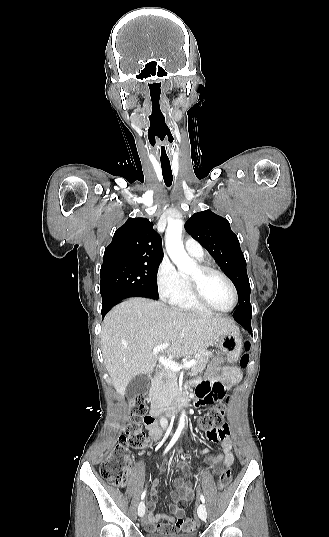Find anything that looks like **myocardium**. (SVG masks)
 Here are the masks:
<instances>
[{
    "mask_svg": "<svg viewBox=\"0 0 329 537\" xmlns=\"http://www.w3.org/2000/svg\"><path fill=\"white\" fill-rule=\"evenodd\" d=\"M197 268L202 275L215 274V275L220 276L222 279H224L232 291L233 301H232L231 307L227 310H221V309L215 308L203 296L199 288L198 282L192 278H188L189 290L194 300L209 311H214V312L224 313V314L232 312L236 308L237 303H238V292L232 280L225 273H223L222 271H220L219 269L213 266H210L207 264H198Z\"/></svg>",
    "mask_w": 329,
    "mask_h": 537,
    "instance_id": "1",
    "label": "myocardium"
}]
</instances>
